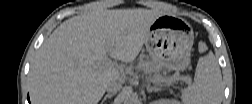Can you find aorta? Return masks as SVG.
Returning a JSON list of instances; mask_svg holds the SVG:
<instances>
[{
  "label": "aorta",
  "instance_id": "762f6f07",
  "mask_svg": "<svg viewBox=\"0 0 252 104\" xmlns=\"http://www.w3.org/2000/svg\"><path fill=\"white\" fill-rule=\"evenodd\" d=\"M124 100H125V103H133V102H134V101H133V98L131 97L130 94H127V95L125 96Z\"/></svg>",
  "mask_w": 252,
  "mask_h": 104
}]
</instances>
